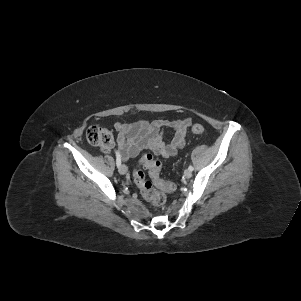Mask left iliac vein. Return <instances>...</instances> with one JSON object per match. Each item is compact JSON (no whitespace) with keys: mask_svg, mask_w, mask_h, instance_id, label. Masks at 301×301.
Here are the masks:
<instances>
[{"mask_svg":"<svg viewBox=\"0 0 301 301\" xmlns=\"http://www.w3.org/2000/svg\"><path fill=\"white\" fill-rule=\"evenodd\" d=\"M184 176L185 178H190L192 176V172L189 169H187L184 171Z\"/></svg>","mask_w":301,"mask_h":301,"instance_id":"left-iliac-vein-1","label":"left iliac vein"}]
</instances>
